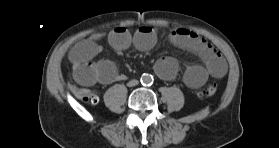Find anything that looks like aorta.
Masks as SVG:
<instances>
[{"label":"aorta","mask_w":279,"mask_h":148,"mask_svg":"<svg viewBox=\"0 0 279 148\" xmlns=\"http://www.w3.org/2000/svg\"><path fill=\"white\" fill-rule=\"evenodd\" d=\"M141 82H142V84L150 85L153 82V77L149 74H144L141 77Z\"/></svg>","instance_id":"1"}]
</instances>
